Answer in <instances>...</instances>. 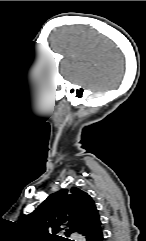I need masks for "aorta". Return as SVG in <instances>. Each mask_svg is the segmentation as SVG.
Returning <instances> with one entry per match:
<instances>
[{"mask_svg": "<svg viewBox=\"0 0 146 241\" xmlns=\"http://www.w3.org/2000/svg\"><path fill=\"white\" fill-rule=\"evenodd\" d=\"M74 239H75V241H85V239L78 234L74 235Z\"/></svg>", "mask_w": 146, "mask_h": 241, "instance_id": "762f6f07", "label": "aorta"}]
</instances>
